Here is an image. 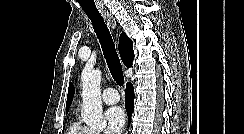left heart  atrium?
Instances as JSON below:
<instances>
[{
  "mask_svg": "<svg viewBox=\"0 0 244 134\" xmlns=\"http://www.w3.org/2000/svg\"><path fill=\"white\" fill-rule=\"evenodd\" d=\"M105 120L110 134H119L126 122V114L121 107L114 106L106 110Z\"/></svg>",
  "mask_w": 244,
  "mask_h": 134,
  "instance_id": "left-heart-atrium-1",
  "label": "left heart atrium"
}]
</instances>
